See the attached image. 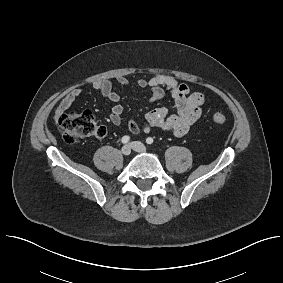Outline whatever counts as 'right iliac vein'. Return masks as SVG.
I'll use <instances>...</instances> for the list:
<instances>
[{
	"label": "right iliac vein",
	"instance_id": "obj_1",
	"mask_svg": "<svg viewBox=\"0 0 283 283\" xmlns=\"http://www.w3.org/2000/svg\"><path fill=\"white\" fill-rule=\"evenodd\" d=\"M123 155L128 156L131 153V147L129 145H124L121 149Z\"/></svg>",
	"mask_w": 283,
	"mask_h": 283
}]
</instances>
